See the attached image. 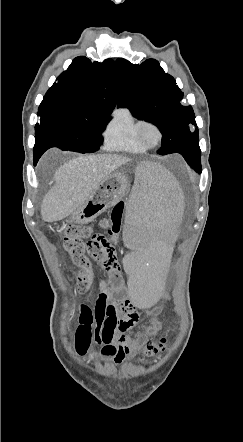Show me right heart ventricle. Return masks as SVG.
I'll list each match as a JSON object with an SVG mask.
<instances>
[{
  "label": "right heart ventricle",
  "mask_w": 243,
  "mask_h": 442,
  "mask_svg": "<svg viewBox=\"0 0 243 442\" xmlns=\"http://www.w3.org/2000/svg\"><path fill=\"white\" fill-rule=\"evenodd\" d=\"M142 120L129 107L117 108L103 133L106 149L130 154L145 153L147 148L137 138V129Z\"/></svg>",
  "instance_id": "e07e8e85"
}]
</instances>
